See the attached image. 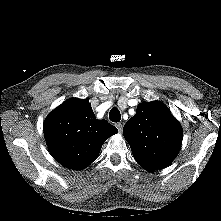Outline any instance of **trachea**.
<instances>
[{
    "mask_svg": "<svg viewBox=\"0 0 221 221\" xmlns=\"http://www.w3.org/2000/svg\"><path fill=\"white\" fill-rule=\"evenodd\" d=\"M109 118L112 122H119L121 119L120 111L114 107L110 110Z\"/></svg>",
    "mask_w": 221,
    "mask_h": 221,
    "instance_id": "3493384b",
    "label": "trachea"
}]
</instances>
